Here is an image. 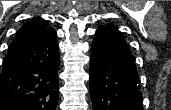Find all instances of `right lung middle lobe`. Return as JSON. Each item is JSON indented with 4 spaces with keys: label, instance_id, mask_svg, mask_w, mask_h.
I'll list each match as a JSON object with an SVG mask.
<instances>
[{
    "label": "right lung middle lobe",
    "instance_id": "1",
    "mask_svg": "<svg viewBox=\"0 0 171 110\" xmlns=\"http://www.w3.org/2000/svg\"><path fill=\"white\" fill-rule=\"evenodd\" d=\"M14 60L13 57H5L3 60V66L11 63Z\"/></svg>",
    "mask_w": 171,
    "mask_h": 110
}]
</instances>
